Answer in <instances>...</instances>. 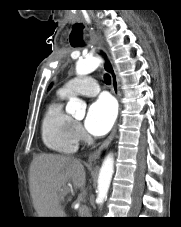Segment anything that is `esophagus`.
<instances>
[{"mask_svg":"<svg viewBox=\"0 0 181 227\" xmlns=\"http://www.w3.org/2000/svg\"><path fill=\"white\" fill-rule=\"evenodd\" d=\"M97 40L99 41L98 54L102 59L103 68L106 72H108L110 74L111 80H112V91H113L114 95L116 96V98L120 101L121 94H120L119 81H118L116 70L112 63L111 57H110L108 51L106 50V48L104 47L103 42L99 36L97 37ZM120 109H121V104H120ZM117 124H118V120H117L115 126L113 127L110 135L107 137V139L99 146V148L97 150H95L89 156V159H88L89 162L98 159L100 157L101 153L111 143V141L113 140V138L116 134V131H117Z\"/></svg>","mask_w":181,"mask_h":227,"instance_id":"obj_1","label":"esophagus"}]
</instances>
